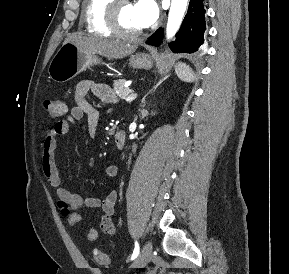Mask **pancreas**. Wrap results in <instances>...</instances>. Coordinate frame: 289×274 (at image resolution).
<instances>
[{"instance_id":"obj_1","label":"pancreas","mask_w":289,"mask_h":274,"mask_svg":"<svg viewBox=\"0 0 289 274\" xmlns=\"http://www.w3.org/2000/svg\"><path fill=\"white\" fill-rule=\"evenodd\" d=\"M125 79H120L114 82L113 87H114V91L115 94L119 97V98H125L127 97L130 93L133 92V90H131L129 87H125Z\"/></svg>"}]
</instances>
